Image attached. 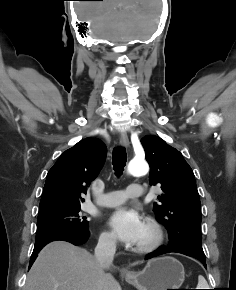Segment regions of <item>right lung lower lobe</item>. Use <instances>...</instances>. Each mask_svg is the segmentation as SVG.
Returning a JSON list of instances; mask_svg holds the SVG:
<instances>
[{
	"label": "right lung lower lobe",
	"instance_id": "right-lung-lower-lobe-1",
	"mask_svg": "<svg viewBox=\"0 0 236 290\" xmlns=\"http://www.w3.org/2000/svg\"><path fill=\"white\" fill-rule=\"evenodd\" d=\"M90 235L88 231H79V232H61V233H54L47 235L45 237L39 238L35 240V246L33 253L30 258L29 268L32 266L33 262L35 261L37 254L39 251L49 242L55 240H63L71 242L74 245H80L87 241Z\"/></svg>",
	"mask_w": 236,
	"mask_h": 290
}]
</instances>
